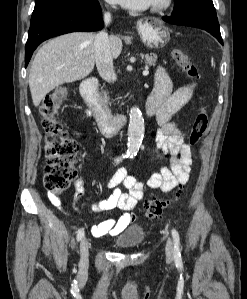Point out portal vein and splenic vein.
I'll use <instances>...</instances> for the list:
<instances>
[{
    "label": "portal vein and splenic vein",
    "mask_w": 247,
    "mask_h": 299,
    "mask_svg": "<svg viewBox=\"0 0 247 299\" xmlns=\"http://www.w3.org/2000/svg\"><path fill=\"white\" fill-rule=\"evenodd\" d=\"M148 74H149L148 67H145V70L143 71V75L147 76Z\"/></svg>",
    "instance_id": "18ae733b"
}]
</instances>
